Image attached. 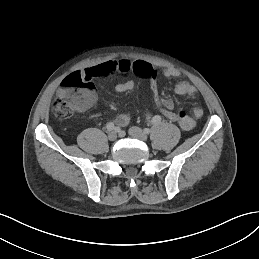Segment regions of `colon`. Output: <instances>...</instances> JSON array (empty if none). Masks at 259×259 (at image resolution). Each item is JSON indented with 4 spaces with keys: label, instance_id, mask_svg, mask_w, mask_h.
I'll return each mask as SVG.
<instances>
[{
    "label": "colon",
    "instance_id": "5ec220e1",
    "mask_svg": "<svg viewBox=\"0 0 259 259\" xmlns=\"http://www.w3.org/2000/svg\"><path fill=\"white\" fill-rule=\"evenodd\" d=\"M94 100L93 85L78 72L68 75L61 83L53 103V113L58 118H68L74 112L86 109ZM184 111H173L168 117L180 124L186 119Z\"/></svg>",
    "mask_w": 259,
    "mask_h": 259
}]
</instances>
